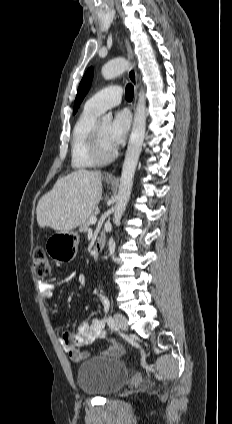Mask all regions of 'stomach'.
Returning a JSON list of instances; mask_svg holds the SVG:
<instances>
[{"label":"stomach","instance_id":"stomach-1","mask_svg":"<svg viewBox=\"0 0 232 424\" xmlns=\"http://www.w3.org/2000/svg\"><path fill=\"white\" fill-rule=\"evenodd\" d=\"M107 184L111 181L105 180ZM79 237L77 232H56L51 235L45 244L48 255L57 262L71 261L77 252Z\"/></svg>","mask_w":232,"mask_h":424}]
</instances>
